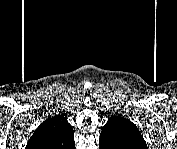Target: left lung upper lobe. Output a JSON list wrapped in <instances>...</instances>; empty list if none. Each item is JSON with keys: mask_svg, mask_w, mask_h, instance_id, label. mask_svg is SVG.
Returning a JSON list of instances; mask_svg holds the SVG:
<instances>
[{"mask_svg": "<svg viewBox=\"0 0 177 149\" xmlns=\"http://www.w3.org/2000/svg\"><path fill=\"white\" fill-rule=\"evenodd\" d=\"M99 147L105 149H146L147 145L134 123L119 115H112L101 131Z\"/></svg>", "mask_w": 177, "mask_h": 149, "instance_id": "5c2ea615", "label": "left lung upper lobe"}]
</instances>
